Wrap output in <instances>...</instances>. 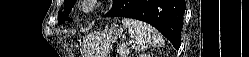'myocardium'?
Returning <instances> with one entry per match:
<instances>
[{"label":"myocardium","mask_w":249,"mask_h":57,"mask_svg":"<svg viewBox=\"0 0 249 57\" xmlns=\"http://www.w3.org/2000/svg\"><path fill=\"white\" fill-rule=\"evenodd\" d=\"M99 3L97 0H81L78 1V9L85 14L92 13L98 8Z\"/></svg>","instance_id":"obj_1"}]
</instances>
